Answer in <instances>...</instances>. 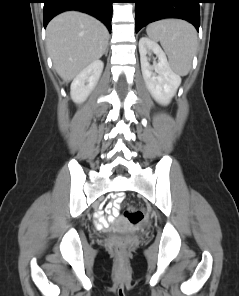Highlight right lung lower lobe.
Listing matches in <instances>:
<instances>
[{"mask_svg": "<svg viewBox=\"0 0 239 296\" xmlns=\"http://www.w3.org/2000/svg\"><path fill=\"white\" fill-rule=\"evenodd\" d=\"M44 27L57 14L67 10L88 13L103 22L111 32L112 3L115 0H43Z\"/></svg>", "mask_w": 239, "mask_h": 296, "instance_id": "1", "label": "right lung lower lobe"}]
</instances>
